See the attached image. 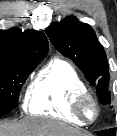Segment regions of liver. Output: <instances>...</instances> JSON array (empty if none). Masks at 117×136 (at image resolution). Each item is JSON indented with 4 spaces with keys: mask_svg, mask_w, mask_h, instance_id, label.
<instances>
[{
    "mask_svg": "<svg viewBox=\"0 0 117 136\" xmlns=\"http://www.w3.org/2000/svg\"><path fill=\"white\" fill-rule=\"evenodd\" d=\"M0 136H92L81 129L48 119L29 118L17 123H0Z\"/></svg>",
    "mask_w": 117,
    "mask_h": 136,
    "instance_id": "1",
    "label": "liver"
}]
</instances>
